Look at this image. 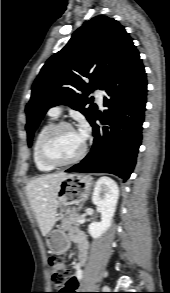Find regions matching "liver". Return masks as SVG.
Here are the masks:
<instances>
[{
	"mask_svg": "<svg viewBox=\"0 0 170 293\" xmlns=\"http://www.w3.org/2000/svg\"><path fill=\"white\" fill-rule=\"evenodd\" d=\"M65 172L40 176L26 186V194L33 209L39 228L46 236L53 228L57 218V191Z\"/></svg>",
	"mask_w": 170,
	"mask_h": 293,
	"instance_id": "6515ba94",
	"label": "liver"
}]
</instances>
